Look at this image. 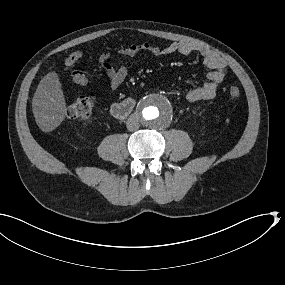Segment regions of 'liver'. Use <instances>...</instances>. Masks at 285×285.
Returning <instances> with one entry per match:
<instances>
[{"label": "liver", "mask_w": 285, "mask_h": 285, "mask_svg": "<svg viewBox=\"0 0 285 285\" xmlns=\"http://www.w3.org/2000/svg\"><path fill=\"white\" fill-rule=\"evenodd\" d=\"M32 111L43 132L53 131L65 119L66 103L56 72L41 79L32 99Z\"/></svg>", "instance_id": "6515ba94"}]
</instances>
